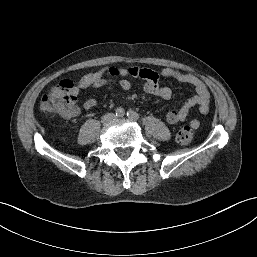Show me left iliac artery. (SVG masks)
I'll use <instances>...</instances> for the list:
<instances>
[{
  "instance_id": "left-iliac-artery-1",
  "label": "left iliac artery",
  "mask_w": 257,
  "mask_h": 257,
  "mask_svg": "<svg viewBox=\"0 0 257 257\" xmlns=\"http://www.w3.org/2000/svg\"><path fill=\"white\" fill-rule=\"evenodd\" d=\"M127 116L132 119V120H138L139 119V115L138 113H136L135 111L129 110L127 112Z\"/></svg>"
}]
</instances>
